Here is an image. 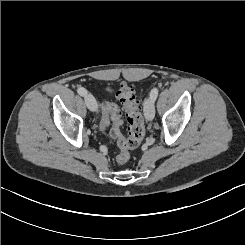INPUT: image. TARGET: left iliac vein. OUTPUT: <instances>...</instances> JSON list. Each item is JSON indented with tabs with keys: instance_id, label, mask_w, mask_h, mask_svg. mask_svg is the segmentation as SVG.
Wrapping results in <instances>:
<instances>
[{
	"instance_id": "1",
	"label": "left iliac vein",
	"mask_w": 245,
	"mask_h": 245,
	"mask_svg": "<svg viewBox=\"0 0 245 245\" xmlns=\"http://www.w3.org/2000/svg\"><path fill=\"white\" fill-rule=\"evenodd\" d=\"M144 115L147 121L153 120L155 116L154 100L151 97L146 99L144 105Z\"/></svg>"
}]
</instances>
